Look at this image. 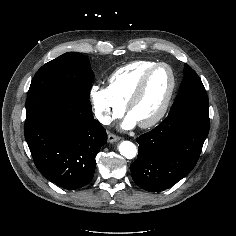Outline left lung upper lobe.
I'll list each match as a JSON object with an SVG mask.
<instances>
[{
    "mask_svg": "<svg viewBox=\"0 0 236 236\" xmlns=\"http://www.w3.org/2000/svg\"><path fill=\"white\" fill-rule=\"evenodd\" d=\"M186 110L204 113H208L209 110L205 88L199 76L187 64L184 65L183 80L169 114Z\"/></svg>",
    "mask_w": 236,
    "mask_h": 236,
    "instance_id": "left-lung-upper-lobe-1",
    "label": "left lung upper lobe"
}]
</instances>
